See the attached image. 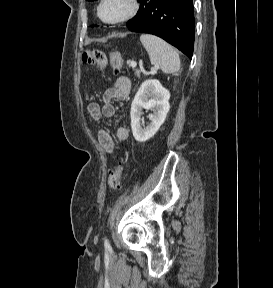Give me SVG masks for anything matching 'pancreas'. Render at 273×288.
Listing matches in <instances>:
<instances>
[{
    "mask_svg": "<svg viewBox=\"0 0 273 288\" xmlns=\"http://www.w3.org/2000/svg\"><path fill=\"white\" fill-rule=\"evenodd\" d=\"M135 73H136V75H139L140 74V70H135Z\"/></svg>",
    "mask_w": 273,
    "mask_h": 288,
    "instance_id": "pancreas-1",
    "label": "pancreas"
}]
</instances>
